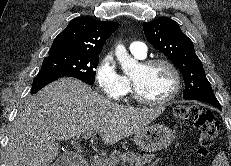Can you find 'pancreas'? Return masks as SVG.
<instances>
[{
  "label": "pancreas",
  "mask_w": 231,
  "mask_h": 166,
  "mask_svg": "<svg viewBox=\"0 0 231 166\" xmlns=\"http://www.w3.org/2000/svg\"><path fill=\"white\" fill-rule=\"evenodd\" d=\"M155 159L154 155L151 154H139L133 152L121 153L118 150H114L108 157H98L91 160L90 165L87 166H117L125 165L128 163L129 166H154L158 160Z\"/></svg>",
  "instance_id": "cf45deb5"
}]
</instances>
